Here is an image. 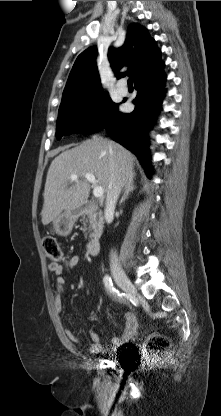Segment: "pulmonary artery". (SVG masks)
<instances>
[{"instance_id": "e3ab8cb5", "label": "pulmonary artery", "mask_w": 221, "mask_h": 416, "mask_svg": "<svg viewBox=\"0 0 221 416\" xmlns=\"http://www.w3.org/2000/svg\"><path fill=\"white\" fill-rule=\"evenodd\" d=\"M117 92L122 95L125 96L128 94V88L123 84V82H119L118 86H117Z\"/></svg>"}]
</instances>
